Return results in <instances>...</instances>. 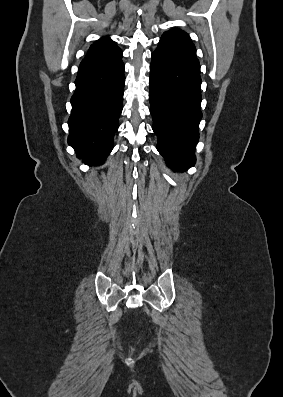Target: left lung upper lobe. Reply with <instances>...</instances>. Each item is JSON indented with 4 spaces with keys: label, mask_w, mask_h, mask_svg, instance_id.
Returning a JSON list of instances; mask_svg holds the SVG:
<instances>
[{
    "label": "left lung upper lobe",
    "mask_w": 283,
    "mask_h": 397,
    "mask_svg": "<svg viewBox=\"0 0 283 397\" xmlns=\"http://www.w3.org/2000/svg\"><path fill=\"white\" fill-rule=\"evenodd\" d=\"M160 44L174 50L176 53L200 67L196 57V48L189 35L180 29L166 31L159 41Z\"/></svg>",
    "instance_id": "left-lung-upper-lobe-1"
}]
</instances>
